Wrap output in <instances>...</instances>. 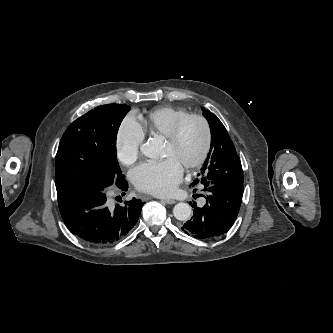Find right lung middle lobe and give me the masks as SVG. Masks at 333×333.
I'll return each mask as SVG.
<instances>
[{
  "instance_id": "obj_1",
  "label": "right lung middle lobe",
  "mask_w": 333,
  "mask_h": 333,
  "mask_svg": "<svg viewBox=\"0 0 333 333\" xmlns=\"http://www.w3.org/2000/svg\"><path fill=\"white\" fill-rule=\"evenodd\" d=\"M130 107L107 104L76 119L65 131L56 154L55 184L58 194L94 187L104 190L121 174L116 138Z\"/></svg>"
}]
</instances>
